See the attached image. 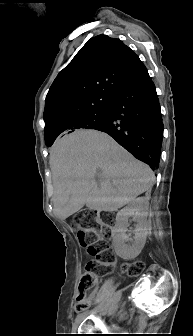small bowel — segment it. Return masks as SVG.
Here are the masks:
<instances>
[{
	"label": "small bowel",
	"instance_id": "1",
	"mask_svg": "<svg viewBox=\"0 0 193 336\" xmlns=\"http://www.w3.org/2000/svg\"><path fill=\"white\" fill-rule=\"evenodd\" d=\"M103 266L107 267V266H109V264L107 263V264H104ZM95 295H96V291H93L90 298H94Z\"/></svg>",
	"mask_w": 193,
	"mask_h": 336
}]
</instances>
